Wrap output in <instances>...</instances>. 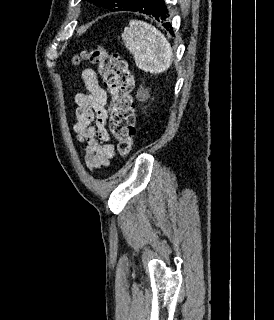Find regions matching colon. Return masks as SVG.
Wrapping results in <instances>:
<instances>
[{"label":"colon","instance_id":"obj_1","mask_svg":"<svg viewBox=\"0 0 274 320\" xmlns=\"http://www.w3.org/2000/svg\"><path fill=\"white\" fill-rule=\"evenodd\" d=\"M89 62L99 68L107 93L111 96L109 108L110 131L121 155H128L135 140V114L131 97L133 77L126 61L117 53L99 45L86 49L73 58L74 64Z\"/></svg>","mask_w":274,"mask_h":320}]
</instances>
